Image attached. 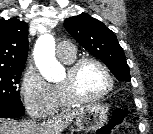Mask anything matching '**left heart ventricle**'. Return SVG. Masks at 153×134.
<instances>
[{
  "label": "left heart ventricle",
  "instance_id": "obj_1",
  "mask_svg": "<svg viewBox=\"0 0 153 134\" xmlns=\"http://www.w3.org/2000/svg\"><path fill=\"white\" fill-rule=\"evenodd\" d=\"M67 78V72L62 78ZM108 86V80L104 72L95 64H85L78 72L76 88L81 95L94 96L102 93Z\"/></svg>",
  "mask_w": 153,
  "mask_h": 134
}]
</instances>
